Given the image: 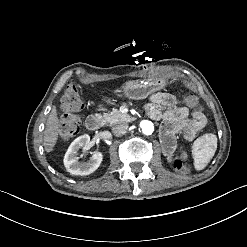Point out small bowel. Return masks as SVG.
Wrapping results in <instances>:
<instances>
[{
	"label": "small bowel",
	"mask_w": 247,
	"mask_h": 247,
	"mask_svg": "<svg viewBox=\"0 0 247 247\" xmlns=\"http://www.w3.org/2000/svg\"><path fill=\"white\" fill-rule=\"evenodd\" d=\"M161 107L168 109L162 111ZM146 111L151 119L163 120L161 139L164 153L169 157L175 149L176 134L180 133L186 140L191 141L205 124V117L200 111H190L170 93L158 92L151 95Z\"/></svg>",
	"instance_id": "1"
}]
</instances>
